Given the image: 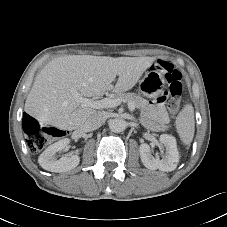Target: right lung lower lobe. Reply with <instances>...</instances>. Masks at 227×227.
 <instances>
[{"mask_svg":"<svg viewBox=\"0 0 227 227\" xmlns=\"http://www.w3.org/2000/svg\"><path fill=\"white\" fill-rule=\"evenodd\" d=\"M30 119H31V117H30L28 114L24 113V117H23V127L26 126L28 120H30Z\"/></svg>","mask_w":227,"mask_h":227,"instance_id":"right-lung-lower-lobe-1","label":"right lung lower lobe"}]
</instances>
